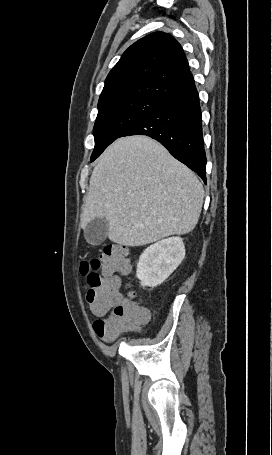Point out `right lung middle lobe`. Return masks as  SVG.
Instances as JSON below:
<instances>
[{
    "label": "right lung middle lobe",
    "mask_w": 272,
    "mask_h": 455,
    "mask_svg": "<svg viewBox=\"0 0 272 455\" xmlns=\"http://www.w3.org/2000/svg\"><path fill=\"white\" fill-rule=\"evenodd\" d=\"M163 102L156 98L138 96L98 106L93 129L95 148L91 162L125 130L145 118Z\"/></svg>",
    "instance_id": "obj_1"
}]
</instances>
